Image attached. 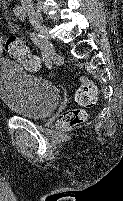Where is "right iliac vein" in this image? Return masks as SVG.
Instances as JSON below:
<instances>
[{
    "instance_id": "1",
    "label": "right iliac vein",
    "mask_w": 123,
    "mask_h": 201,
    "mask_svg": "<svg viewBox=\"0 0 123 201\" xmlns=\"http://www.w3.org/2000/svg\"><path fill=\"white\" fill-rule=\"evenodd\" d=\"M26 10L32 25L43 36L45 45L50 46L51 43L47 27L42 24V22L40 21L39 17L37 16L36 12L32 7L28 6Z\"/></svg>"
}]
</instances>
